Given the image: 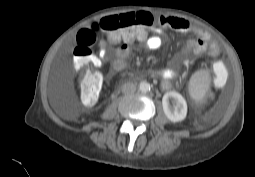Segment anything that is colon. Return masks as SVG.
I'll list each match as a JSON object with an SVG mask.
<instances>
[{"label":"colon","mask_w":255,"mask_h":177,"mask_svg":"<svg viewBox=\"0 0 255 177\" xmlns=\"http://www.w3.org/2000/svg\"><path fill=\"white\" fill-rule=\"evenodd\" d=\"M154 23L155 20L151 14L136 12L108 16L79 30L76 36V46L73 49V62L83 71L80 95L84 103L93 104L97 101L102 83L100 72L93 67L92 47L95 44L131 42L152 27Z\"/></svg>","instance_id":"obj_1"}]
</instances>
